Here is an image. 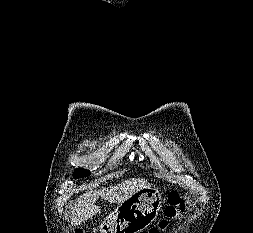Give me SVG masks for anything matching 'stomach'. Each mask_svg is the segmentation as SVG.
I'll list each match as a JSON object with an SVG mask.
<instances>
[{"label": "stomach", "mask_w": 253, "mask_h": 233, "mask_svg": "<svg viewBox=\"0 0 253 233\" xmlns=\"http://www.w3.org/2000/svg\"><path fill=\"white\" fill-rule=\"evenodd\" d=\"M162 206L160 192L147 187L121 202L101 223L102 233H140L155 221Z\"/></svg>", "instance_id": "obj_1"}]
</instances>
